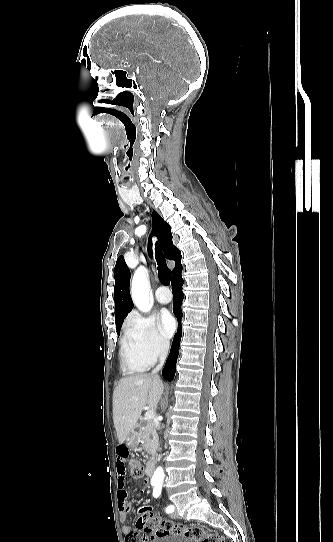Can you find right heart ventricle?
I'll return each instance as SVG.
<instances>
[{"label":"right heart ventricle","mask_w":333,"mask_h":542,"mask_svg":"<svg viewBox=\"0 0 333 542\" xmlns=\"http://www.w3.org/2000/svg\"><path fill=\"white\" fill-rule=\"evenodd\" d=\"M120 354L123 368L129 373L146 371L155 361L142 348L127 339H124L121 343Z\"/></svg>","instance_id":"right-heart-ventricle-1"}]
</instances>
